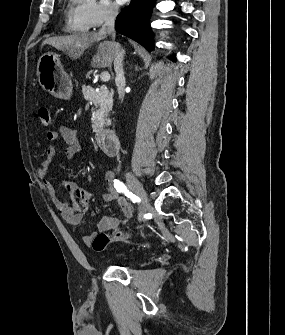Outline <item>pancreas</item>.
<instances>
[{
  "mask_svg": "<svg viewBox=\"0 0 285 335\" xmlns=\"http://www.w3.org/2000/svg\"><path fill=\"white\" fill-rule=\"evenodd\" d=\"M89 82V79H86ZM84 93H92L93 87L88 86L86 83L81 85ZM96 110L93 114L95 118H92V125H106L109 126L110 120L108 118L109 112L112 110L113 106V96L110 94L106 86H101L99 92H95L92 100Z\"/></svg>",
  "mask_w": 285,
  "mask_h": 335,
  "instance_id": "obj_1",
  "label": "pancreas"
}]
</instances>
